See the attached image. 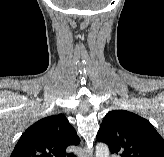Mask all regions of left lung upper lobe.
Instances as JSON below:
<instances>
[{"mask_svg": "<svg viewBox=\"0 0 164 157\" xmlns=\"http://www.w3.org/2000/svg\"><path fill=\"white\" fill-rule=\"evenodd\" d=\"M96 138L120 157H164V139L153 125L126 110L108 112Z\"/></svg>", "mask_w": 164, "mask_h": 157, "instance_id": "1", "label": "left lung upper lobe"}]
</instances>
